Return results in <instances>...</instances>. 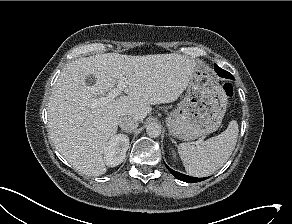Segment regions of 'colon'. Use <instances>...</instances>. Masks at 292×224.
I'll list each match as a JSON object with an SVG mask.
<instances>
[{
  "mask_svg": "<svg viewBox=\"0 0 292 224\" xmlns=\"http://www.w3.org/2000/svg\"><path fill=\"white\" fill-rule=\"evenodd\" d=\"M223 91L226 96L231 97L233 95V86L230 83L223 84Z\"/></svg>",
  "mask_w": 292,
  "mask_h": 224,
  "instance_id": "obj_1",
  "label": "colon"
}]
</instances>
